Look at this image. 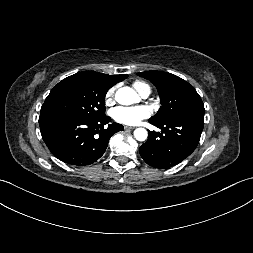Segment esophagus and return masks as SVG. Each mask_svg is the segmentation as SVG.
I'll use <instances>...</instances> for the list:
<instances>
[{
  "label": "esophagus",
  "instance_id": "esophagus-1",
  "mask_svg": "<svg viewBox=\"0 0 253 253\" xmlns=\"http://www.w3.org/2000/svg\"><path fill=\"white\" fill-rule=\"evenodd\" d=\"M124 129H125V130H133V129H135V127H132V126H124Z\"/></svg>",
  "mask_w": 253,
  "mask_h": 253
}]
</instances>
